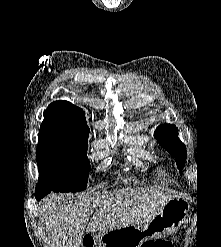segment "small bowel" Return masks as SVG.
Returning a JSON list of instances; mask_svg holds the SVG:
<instances>
[{"mask_svg":"<svg viewBox=\"0 0 221 247\" xmlns=\"http://www.w3.org/2000/svg\"><path fill=\"white\" fill-rule=\"evenodd\" d=\"M151 242H153V243H162V242H164V240H151Z\"/></svg>","mask_w":221,"mask_h":247,"instance_id":"1","label":"small bowel"}]
</instances>
